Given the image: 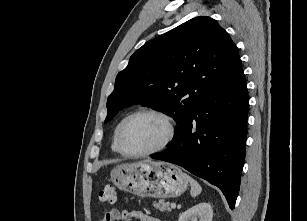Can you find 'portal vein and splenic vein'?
<instances>
[{"label": "portal vein and splenic vein", "instance_id": "18ae733b", "mask_svg": "<svg viewBox=\"0 0 307 221\" xmlns=\"http://www.w3.org/2000/svg\"><path fill=\"white\" fill-rule=\"evenodd\" d=\"M171 208H172V209H175V208H176V204H175V203H172V204H171Z\"/></svg>", "mask_w": 307, "mask_h": 221}]
</instances>
